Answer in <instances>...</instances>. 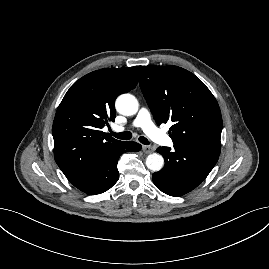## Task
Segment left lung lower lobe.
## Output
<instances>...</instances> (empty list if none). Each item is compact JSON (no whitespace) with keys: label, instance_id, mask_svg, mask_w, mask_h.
Returning a JSON list of instances; mask_svg holds the SVG:
<instances>
[{"label":"left lung lower lobe","instance_id":"1","mask_svg":"<svg viewBox=\"0 0 269 269\" xmlns=\"http://www.w3.org/2000/svg\"><path fill=\"white\" fill-rule=\"evenodd\" d=\"M165 160L164 168L152 175L159 190L170 196H182L196 188L215 166L220 149L183 144L159 147L156 150Z\"/></svg>","mask_w":269,"mask_h":269}]
</instances>
